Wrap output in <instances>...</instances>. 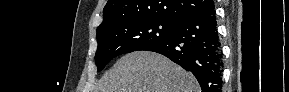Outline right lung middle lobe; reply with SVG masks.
I'll use <instances>...</instances> for the list:
<instances>
[{
    "mask_svg": "<svg viewBox=\"0 0 289 92\" xmlns=\"http://www.w3.org/2000/svg\"><path fill=\"white\" fill-rule=\"evenodd\" d=\"M176 25L174 21L142 18L121 21L97 31L95 62L98 71L118 55L167 40L175 32Z\"/></svg>",
    "mask_w": 289,
    "mask_h": 92,
    "instance_id": "obj_1",
    "label": "right lung middle lobe"
}]
</instances>
